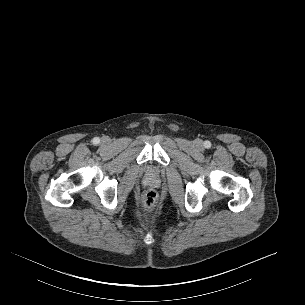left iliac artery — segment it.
<instances>
[{"label":"left iliac artery","mask_w":305,"mask_h":305,"mask_svg":"<svg viewBox=\"0 0 305 305\" xmlns=\"http://www.w3.org/2000/svg\"><path fill=\"white\" fill-rule=\"evenodd\" d=\"M204 146H205V148H210L211 147V142L210 141H205Z\"/></svg>","instance_id":"left-iliac-artery-1"}]
</instances>
